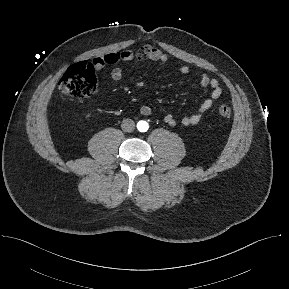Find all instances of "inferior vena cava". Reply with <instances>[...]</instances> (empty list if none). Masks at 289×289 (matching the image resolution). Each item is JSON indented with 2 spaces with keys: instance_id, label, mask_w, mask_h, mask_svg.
Wrapping results in <instances>:
<instances>
[{
  "instance_id": "obj_1",
  "label": "inferior vena cava",
  "mask_w": 289,
  "mask_h": 289,
  "mask_svg": "<svg viewBox=\"0 0 289 289\" xmlns=\"http://www.w3.org/2000/svg\"><path fill=\"white\" fill-rule=\"evenodd\" d=\"M121 128L124 132H132L135 129V122L132 119H124Z\"/></svg>"
}]
</instances>
